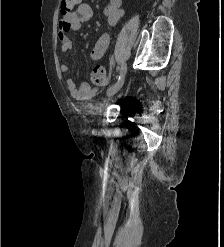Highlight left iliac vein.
<instances>
[{"label":"left iliac vein","mask_w":224,"mask_h":247,"mask_svg":"<svg viewBox=\"0 0 224 247\" xmlns=\"http://www.w3.org/2000/svg\"><path fill=\"white\" fill-rule=\"evenodd\" d=\"M125 82V76L119 79L114 85H112L108 91H107V96L111 97L115 95L123 86Z\"/></svg>","instance_id":"obj_1"}]
</instances>
